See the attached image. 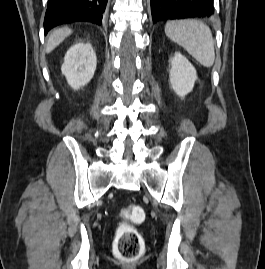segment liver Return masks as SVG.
<instances>
[{"mask_svg": "<svg viewBox=\"0 0 265 269\" xmlns=\"http://www.w3.org/2000/svg\"><path fill=\"white\" fill-rule=\"evenodd\" d=\"M72 33V30L68 27H63L53 31L46 45V53L53 51L66 37Z\"/></svg>", "mask_w": 265, "mask_h": 269, "instance_id": "obj_1", "label": "liver"}]
</instances>
